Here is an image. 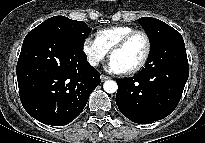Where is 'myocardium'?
<instances>
[{
    "label": "myocardium",
    "mask_w": 205,
    "mask_h": 143,
    "mask_svg": "<svg viewBox=\"0 0 205 143\" xmlns=\"http://www.w3.org/2000/svg\"><path fill=\"white\" fill-rule=\"evenodd\" d=\"M136 35H142L144 37L145 42H146V49H145V53H144L142 59L140 60V62L138 64H136L134 67L125 71V73H127V74L136 73V72L140 71L147 64L149 57H150V54H151V50H152V43H151V39H150V36L148 35V33L144 30H136L135 29L132 32L125 35L110 50V57H112L114 53L122 50L132 40V38H134Z\"/></svg>",
    "instance_id": "1"
}]
</instances>
